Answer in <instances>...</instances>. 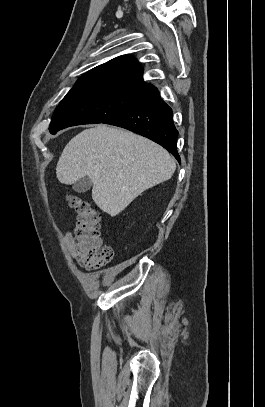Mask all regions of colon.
<instances>
[{"instance_id": "5ec220e1", "label": "colon", "mask_w": 265, "mask_h": 407, "mask_svg": "<svg viewBox=\"0 0 265 407\" xmlns=\"http://www.w3.org/2000/svg\"><path fill=\"white\" fill-rule=\"evenodd\" d=\"M67 202L78 214L74 236L77 262L88 269L108 265L113 259L114 251L111 246L103 243L99 212L88 200L78 195L67 196Z\"/></svg>"}]
</instances>
